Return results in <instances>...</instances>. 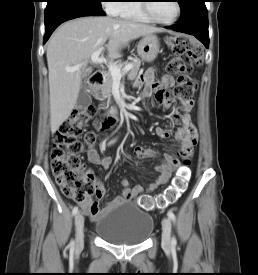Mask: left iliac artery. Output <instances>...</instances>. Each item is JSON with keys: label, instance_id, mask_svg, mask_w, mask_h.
I'll use <instances>...</instances> for the list:
<instances>
[{"label": "left iliac artery", "instance_id": "1", "mask_svg": "<svg viewBox=\"0 0 258 275\" xmlns=\"http://www.w3.org/2000/svg\"><path fill=\"white\" fill-rule=\"evenodd\" d=\"M167 215H168V217H169L173 222L175 221V219H176V218H175V215H174V213H173L171 210L168 211ZM171 244H172V246H176L177 240H176L175 237L172 238Z\"/></svg>", "mask_w": 258, "mask_h": 275}]
</instances>
